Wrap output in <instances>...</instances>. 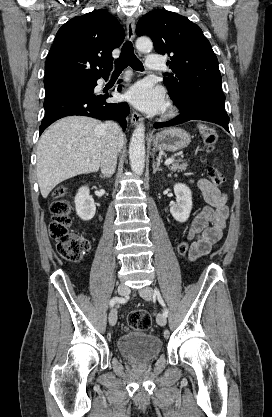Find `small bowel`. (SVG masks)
I'll list each match as a JSON object with an SVG mask.
<instances>
[{"label": "small bowel", "instance_id": "small-bowel-1", "mask_svg": "<svg viewBox=\"0 0 272 417\" xmlns=\"http://www.w3.org/2000/svg\"><path fill=\"white\" fill-rule=\"evenodd\" d=\"M196 185L206 205L188 227V239L191 241L188 254L191 260L209 254L219 244L229 215L224 192L205 178L199 179Z\"/></svg>", "mask_w": 272, "mask_h": 417}]
</instances>
